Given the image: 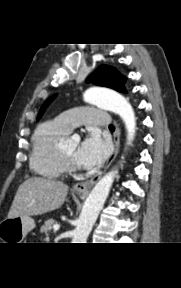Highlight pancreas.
<instances>
[{
	"instance_id": "cf45deb5",
	"label": "pancreas",
	"mask_w": 181,
	"mask_h": 288,
	"mask_svg": "<svg viewBox=\"0 0 181 288\" xmlns=\"http://www.w3.org/2000/svg\"><path fill=\"white\" fill-rule=\"evenodd\" d=\"M54 219H48L44 225L41 227L40 231L42 233L48 234L49 231H51L52 227L55 225Z\"/></svg>"
}]
</instances>
